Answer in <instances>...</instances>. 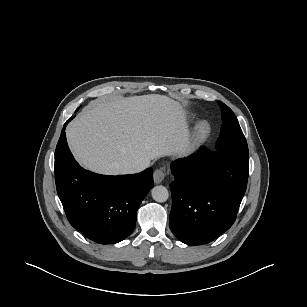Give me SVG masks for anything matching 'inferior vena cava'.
<instances>
[{
	"mask_svg": "<svg viewBox=\"0 0 307 307\" xmlns=\"http://www.w3.org/2000/svg\"><path fill=\"white\" fill-rule=\"evenodd\" d=\"M145 168H147L146 164H139V165H133L128 166L123 169L124 174H133L143 171Z\"/></svg>",
	"mask_w": 307,
	"mask_h": 307,
	"instance_id": "inferior-vena-cava-1",
	"label": "inferior vena cava"
}]
</instances>
